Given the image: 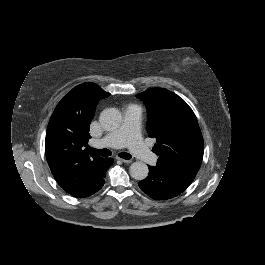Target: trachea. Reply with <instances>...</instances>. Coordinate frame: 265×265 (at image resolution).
Wrapping results in <instances>:
<instances>
[{
  "mask_svg": "<svg viewBox=\"0 0 265 265\" xmlns=\"http://www.w3.org/2000/svg\"><path fill=\"white\" fill-rule=\"evenodd\" d=\"M89 151L90 152H93L94 154H97L99 156H111V151L104 148V149H95V148H92V147H89ZM118 156L120 158H123V159H131L132 156L127 153V152H121L118 154Z\"/></svg>",
  "mask_w": 265,
  "mask_h": 265,
  "instance_id": "obj_1",
  "label": "trachea"
}]
</instances>
